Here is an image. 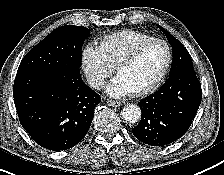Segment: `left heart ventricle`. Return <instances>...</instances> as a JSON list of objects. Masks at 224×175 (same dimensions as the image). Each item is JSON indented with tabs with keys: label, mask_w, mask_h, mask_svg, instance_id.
Listing matches in <instances>:
<instances>
[{
	"label": "left heart ventricle",
	"mask_w": 224,
	"mask_h": 175,
	"mask_svg": "<svg viewBox=\"0 0 224 175\" xmlns=\"http://www.w3.org/2000/svg\"><path fill=\"white\" fill-rule=\"evenodd\" d=\"M167 58L164 45L155 43L148 46L130 65L122 68L117 75L136 91L150 84L162 70Z\"/></svg>",
	"instance_id": "left-heart-ventricle-1"
}]
</instances>
